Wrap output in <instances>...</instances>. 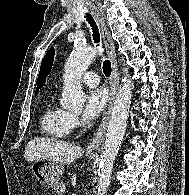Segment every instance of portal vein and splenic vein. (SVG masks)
<instances>
[{
  "instance_id": "1",
  "label": "portal vein and splenic vein",
  "mask_w": 189,
  "mask_h": 195,
  "mask_svg": "<svg viewBox=\"0 0 189 195\" xmlns=\"http://www.w3.org/2000/svg\"><path fill=\"white\" fill-rule=\"evenodd\" d=\"M63 190H64V189H63ZM71 195H77V194L73 193V194H71Z\"/></svg>"
}]
</instances>
